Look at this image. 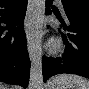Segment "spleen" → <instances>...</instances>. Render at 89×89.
Here are the masks:
<instances>
[{
  "label": "spleen",
  "mask_w": 89,
  "mask_h": 89,
  "mask_svg": "<svg viewBox=\"0 0 89 89\" xmlns=\"http://www.w3.org/2000/svg\"><path fill=\"white\" fill-rule=\"evenodd\" d=\"M62 89H89V81L73 74H61L52 79Z\"/></svg>",
  "instance_id": "spleen-1"
}]
</instances>
